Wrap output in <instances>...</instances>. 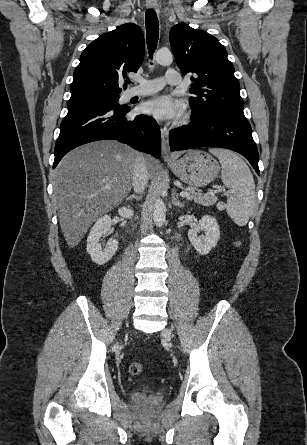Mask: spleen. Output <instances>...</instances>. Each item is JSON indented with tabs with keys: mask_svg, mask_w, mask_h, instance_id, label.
Here are the masks:
<instances>
[{
	"mask_svg": "<svg viewBox=\"0 0 307 445\" xmlns=\"http://www.w3.org/2000/svg\"><path fill=\"white\" fill-rule=\"evenodd\" d=\"M221 162V178L229 188L226 212L238 227L247 225L250 216L257 208L255 180L246 162L227 148H209Z\"/></svg>",
	"mask_w": 307,
	"mask_h": 445,
	"instance_id": "obj_1",
	"label": "spleen"
}]
</instances>
